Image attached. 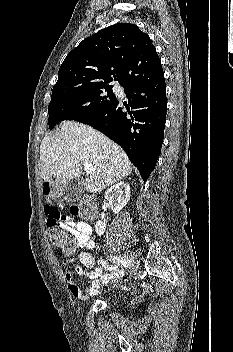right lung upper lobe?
Instances as JSON below:
<instances>
[{
    "label": "right lung upper lobe",
    "instance_id": "obj_1",
    "mask_svg": "<svg viewBox=\"0 0 233 352\" xmlns=\"http://www.w3.org/2000/svg\"><path fill=\"white\" fill-rule=\"evenodd\" d=\"M163 72L148 34L120 23L84 39L64 59L52 91L118 81L122 87Z\"/></svg>",
    "mask_w": 233,
    "mask_h": 352
}]
</instances>
